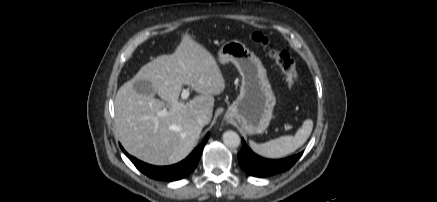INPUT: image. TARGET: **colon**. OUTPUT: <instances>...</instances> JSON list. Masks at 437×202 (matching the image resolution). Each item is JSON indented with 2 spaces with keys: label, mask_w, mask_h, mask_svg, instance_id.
<instances>
[{
  "label": "colon",
  "mask_w": 437,
  "mask_h": 202,
  "mask_svg": "<svg viewBox=\"0 0 437 202\" xmlns=\"http://www.w3.org/2000/svg\"><path fill=\"white\" fill-rule=\"evenodd\" d=\"M253 42L261 45L275 61L285 76L288 87L293 88L298 82V75L295 68V62L290 53L283 49L273 47L272 41L261 32H254L251 35Z\"/></svg>",
  "instance_id": "colon-1"
}]
</instances>
